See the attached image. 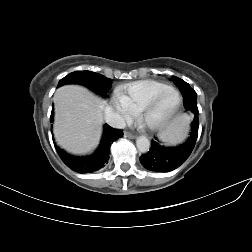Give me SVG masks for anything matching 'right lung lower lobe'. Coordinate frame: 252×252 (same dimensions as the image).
Segmentation results:
<instances>
[{
    "label": "right lung lower lobe",
    "mask_w": 252,
    "mask_h": 252,
    "mask_svg": "<svg viewBox=\"0 0 252 252\" xmlns=\"http://www.w3.org/2000/svg\"><path fill=\"white\" fill-rule=\"evenodd\" d=\"M53 121V105L50 122ZM123 136L122 130H118L105 124L100 146L96 152L87 157H77L66 153L55 145L61 160L73 171L78 173H91L103 168L109 160L111 144Z\"/></svg>",
    "instance_id": "98d812e1"
}]
</instances>
